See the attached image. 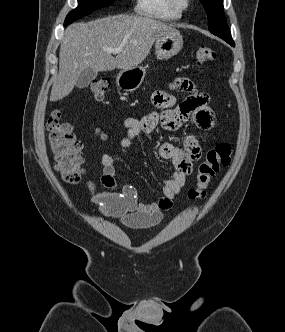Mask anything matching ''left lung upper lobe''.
I'll return each instance as SVG.
<instances>
[{"label":"left lung upper lobe","mask_w":285,"mask_h":332,"mask_svg":"<svg viewBox=\"0 0 285 332\" xmlns=\"http://www.w3.org/2000/svg\"><path fill=\"white\" fill-rule=\"evenodd\" d=\"M207 12L209 31L222 38L223 40L233 42L231 33L223 12L222 0H200Z\"/></svg>","instance_id":"left-lung-upper-lobe-1"}]
</instances>
